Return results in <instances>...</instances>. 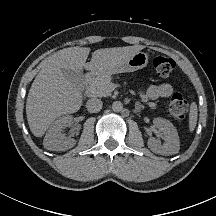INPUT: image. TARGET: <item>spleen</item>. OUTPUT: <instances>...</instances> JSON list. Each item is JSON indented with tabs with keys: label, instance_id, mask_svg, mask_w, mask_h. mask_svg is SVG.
I'll use <instances>...</instances> for the list:
<instances>
[{
	"label": "spleen",
	"instance_id": "3e777b00",
	"mask_svg": "<svg viewBox=\"0 0 216 216\" xmlns=\"http://www.w3.org/2000/svg\"><path fill=\"white\" fill-rule=\"evenodd\" d=\"M198 111L196 103H192L189 112V131L192 132L197 123Z\"/></svg>",
	"mask_w": 216,
	"mask_h": 216
}]
</instances>
